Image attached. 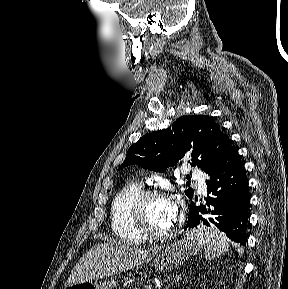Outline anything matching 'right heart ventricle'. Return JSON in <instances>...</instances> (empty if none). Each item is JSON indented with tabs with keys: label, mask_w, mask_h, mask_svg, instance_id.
I'll return each instance as SVG.
<instances>
[{
	"label": "right heart ventricle",
	"mask_w": 288,
	"mask_h": 289,
	"mask_svg": "<svg viewBox=\"0 0 288 289\" xmlns=\"http://www.w3.org/2000/svg\"><path fill=\"white\" fill-rule=\"evenodd\" d=\"M142 191L137 182L126 183L113 197L110 207V224L113 235L124 244L139 245L145 238L130 225L128 208L132 200Z\"/></svg>",
	"instance_id": "1"
}]
</instances>
